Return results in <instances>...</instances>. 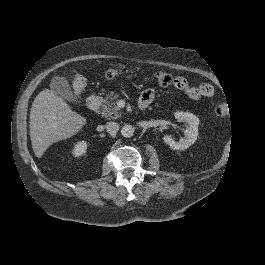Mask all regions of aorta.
I'll list each match as a JSON object with an SVG mask.
<instances>
[{"label": "aorta", "mask_w": 265, "mask_h": 265, "mask_svg": "<svg viewBox=\"0 0 265 265\" xmlns=\"http://www.w3.org/2000/svg\"><path fill=\"white\" fill-rule=\"evenodd\" d=\"M134 127L131 125H124L121 129V134L124 138H131L134 135Z\"/></svg>", "instance_id": "aorta-1"}]
</instances>
